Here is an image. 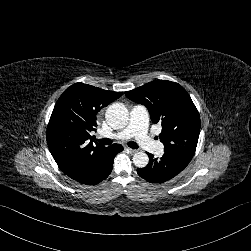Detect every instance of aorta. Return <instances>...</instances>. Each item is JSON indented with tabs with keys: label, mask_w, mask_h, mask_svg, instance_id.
<instances>
[{
	"label": "aorta",
	"mask_w": 251,
	"mask_h": 251,
	"mask_svg": "<svg viewBox=\"0 0 251 251\" xmlns=\"http://www.w3.org/2000/svg\"><path fill=\"white\" fill-rule=\"evenodd\" d=\"M105 119L111 128L122 130L128 125L129 112L123 104H112L106 111ZM133 163L137 168H144L149 163V157L145 152H136L133 155Z\"/></svg>",
	"instance_id": "obj_1"
}]
</instances>
